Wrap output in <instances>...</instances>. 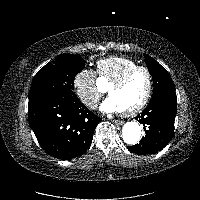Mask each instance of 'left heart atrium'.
<instances>
[{"label":"left heart atrium","instance_id":"left-heart-atrium-1","mask_svg":"<svg viewBox=\"0 0 200 200\" xmlns=\"http://www.w3.org/2000/svg\"><path fill=\"white\" fill-rule=\"evenodd\" d=\"M100 110L104 113H117L121 112V109L115 99L112 96H109L106 98L101 104H100Z\"/></svg>","mask_w":200,"mask_h":200}]
</instances>
